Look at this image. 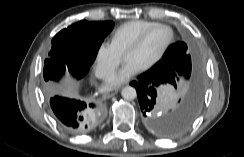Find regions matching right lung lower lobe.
Masks as SVG:
<instances>
[{
    "instance_id": "right-lung-lower-lobe-1",
    "label": "right lung lower lobe",
    "mask_w": 244,
    "mask_h": 157,
    "mask_svg": "<svg viewBox=\"0 0 244 157\" xmlns=\"http://www.w3.org/2000/svg\"><path fill=\"white\" fill-rule=\"evenodd\" d=\"M50 106L59 124L68 132L83 134L91 131L100 121L102 106L85 103L75 99L54 96L50 98ZM95 109H100L99 112Z\"/></svg>"
}]
</instances>
